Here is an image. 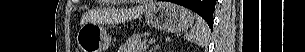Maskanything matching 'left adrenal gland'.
I'll list each match as a JSON object with an SVG mask.
<instances>
[{
	"mask_svg": "<svg viewBox=\"0 0 305 52\" xmlns=\"http://www.w3.org/2000/svg\"><path fill=\"white\" fill-rule=\"evenodd\" d=\"M157 49H159V45H156L155 47H153L152 50H150V52H155Z\"/></svg>",
	"mask_w": 305,
	"mask_h": 52,
	"instance_id": "obj_1",
	"label": "left adrenal gland"
}]
</instances>
